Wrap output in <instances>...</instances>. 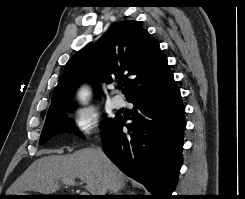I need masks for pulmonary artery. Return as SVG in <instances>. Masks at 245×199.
<instances>
[{
  "mask_svg": "<svg viewBox=\"0 0 245 199\" xmlns=\"http://www.w3.org/2000/svg\"><path fill=\"white\" fill-rule=\"evenodd\" d=\"M112 106L115 108V109H120L124 106V100L121 96L119 95H115L113 96L112 98Z\"/></svg>",
  "mask_w": 245,
  "mask_h": 199,
  "instance_id": "pulmonary-artery-1",
  "label": "pulmonary artery"
}]
</instances>
